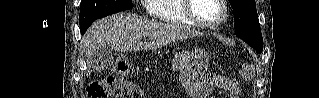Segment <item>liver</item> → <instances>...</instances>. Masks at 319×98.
<instances>
[{
  "label": "liver",
  "instance_id": "obj_1",
  "mask_svg": "<svg viewBox=\"0 0 319 98\" xmlns=\"http://www.w3.org/2000/svg\"><path fill=\"white\" fill-rule=\"evenodd\" d=\"M199 32L185 26L142 20L127 13L112 15L94 22L82 42L89 69L92 67L91 56L100 49H114L117 52L157 49L171 42L192 38ZM142 37L150 41L143 43Z\"/></svg>",
  "mask_w": 319,
  "mask_h": 98
}]
</instances>
